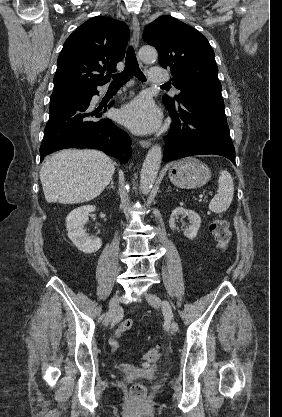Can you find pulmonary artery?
Masks as SVG:
<instances>
[{"label": "pulmonary artery", "mask_w": 282, "mask_h": 417, "mask_svg": "<svg viewBox=\"0 0 282 417\" xmlns=\"http://www.w3.org/2000/svg\"><path fill=\"white\" fill-rule=\"evenodd\" d=\"M150 72L152 74L148 75L149 83H169L170 76L169 74H163L164 73L163 65H152L150 67Z\"/></svg>", "instance_id": "obj_1"}]
</instances>
